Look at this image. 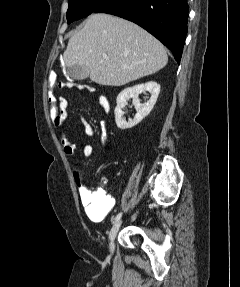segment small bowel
Here are the masks:
<instances>
[{
    "label": "small bowel",
    "instance_id": "1",
    "mask_svg": "<svg viewBox=\"0 0 240 287\" xmlns=\"http://www.w3.org/2000/svg\"><path fill=\"white\" fill-rule=\"evenodd\" d=\"M89 90H92V88H89ZM97 100L103 111L105 113H108L110 111L109 101L104 96H99ZM81 122L83 124L85 133L88 136L94 135L95 131L93 127L83 117H81ZM101 126H102V145L106 146L108 142L106 125L104 122H102ZM58 129L61 130L62 132L61 144L65 155L68 157L74 156L77 150L75 143L68 138L66 132L64 131V125L60 126ZM82 154L85 158L91 157L93 154L92 145L88 143L84 144ZM103 183H105L104 180ZM81 199L86 215L93 222H102L115 205L114 198L109 194L103 192L101 189L93 191L90 189H84L81 191Z\"/></svg>",
    "mask_w": 240,
    "mask_h": 287
}]
</instances>
